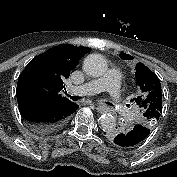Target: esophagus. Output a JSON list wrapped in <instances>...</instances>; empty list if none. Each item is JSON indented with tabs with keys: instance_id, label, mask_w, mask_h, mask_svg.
Segmentation results:
<instances>
[{
	"instance_id": "esophagus-1",
	"label": "esophagus",
	"mask_w": 177,
	"mask_h": 177,
	"mask_svg": "<svg viewBox=\"0 0 177 177\" xmlns=\"http://www.w3.org/2000/svg\"><path fill=\"white\" fill-rule=\"evenodd\" d=\"M96 109L100 112H103V111H108L109 108L103 104H96Z\"/></svg>"
}]
</instances>
